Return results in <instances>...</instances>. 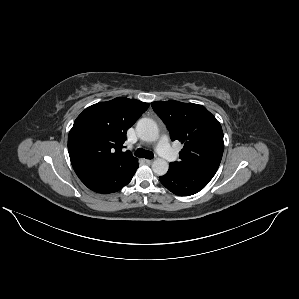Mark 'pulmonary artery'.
<instances>
[{"label": "pulmonary artery", "mask_w": 299, "mask_h": 299, "mask_svg": "<svg viewBox=\"0 0 299 299\" xmlns=\"http://www.w3.org/2000/svg\"><path fill=\"white\" fill-rule=\"evenodd\" d=\"M156 150L159 153V155L164 159H169L173 155L172 149L170 148L168 143V138L166 136H162L159 139L156 145Z\"/></svg>", "instance_id": "e3ab8cb5"}]
</instances>
